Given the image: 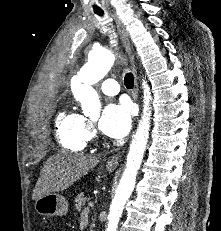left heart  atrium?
I'll use <instances>...</instances> for the list:
<instances>
[{"mask_svg": "<svg viewBox=\"0 0 221 231\" xmlns=\"http://www.w3.org/2000/svg\"><path fill=\"white\" fill-rule=\"evenodd\" d=\"M131 121L130 105L125 102H113L105 107L98 125L106 136L117 139L128 133Z\"/></svg>", "mask_w": 221, "mask_h": 231, "instance_id": "1", "label": "left heart atrium"}]
</instances>
